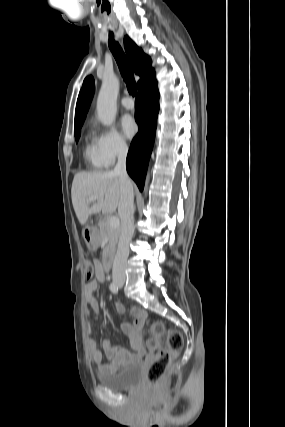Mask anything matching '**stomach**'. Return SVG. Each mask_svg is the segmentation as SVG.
<instances>
[{"label":"stomach","instance_id":"1","mask_svg":"<svg viewBox=\"0 0 285 427\" xmlns=\"http://www.w3.org/2000/svg\"><path fill=\"white\" fill-rule=\"evenodd\" d=\"M83 238L87 244V246L95 250L99 247L101 243V238L96 227H86L82 231Z\"/></svg>","mask_w":285,"mask_h":427}]
</instances>
